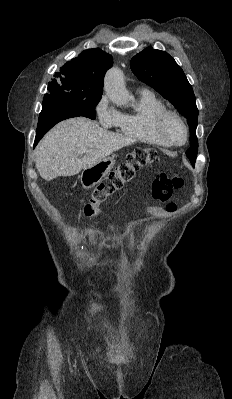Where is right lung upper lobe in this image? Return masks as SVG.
<instances>
[{
	"mask_svg": "<svg viewBox=\"0 0 232 399\" xmlns=\"http://www.w3.org/2000/svg\"><path fill=\"white\" fill-rule=\"evenodd\" d=\"M112 64L111 55L99 48L88 49L61 67L51 83L69 90L102 93L104 75Z\"/></svg>",
	"mask_w": 232,
	"mask_h": 399,
	"instance_id": "cb5924a9",
	"label": "right lung upper lobe"
}]
</instances>
